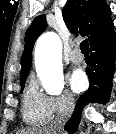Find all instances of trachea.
I'll list each match as a JSON object with an SVG mask.
<instances>
[{"label": "trachea", "mask_w": 116, "mask_h": 134, "mask_svg": "<svg viewBox=\"0 0 116 134\" xmlns=\"http://www.w3.org/2000/svg\"><path fill=\"white\" fill-rule=\"evenodd\" d=\"M80 49L82 51V53L84 55H89V43L87 39H84L81 43H80Z\"/></svg>", "instance_id": "3493384b"}]
</instances>
